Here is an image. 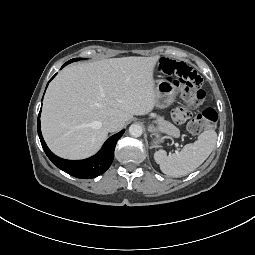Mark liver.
<instances>
[{
  "instance_id": "obj_1",
  "label": "liver",
  "mask_w": 255,
  "mask_h": 255,
  "mask_svg": "<svg viewBox=\"0 0 255 255\" xmlns=\"http://www.w3.org/2000/svg\"><path fill=\"white\" fill-rule=\"evenodd\" d=\"M159 59L122 57L64 68L50 83L41 114L42 134L52 152L87 158L107 138V119H118L123 128L133 115L151 112Z\"/></svg>"
}]
</instances>
